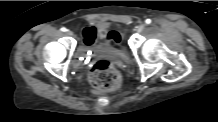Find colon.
<instances>
[{
	"mask_svg": "<svg viewBox=\"0 0 218 122\" xmlns=\"http://www.w3.org/2000/svg\"><path fill=\"white\" fill-rule=\"evenodd\" d=\"M102 42L105 46L117 49L122 46L124 37L120 29L109 28L102 33ZM91 85L100 91L117 90L121 86V76L115 63L107 58L95 60L88 73Z\"/></svg>",
	"mask_w": 218,
	"mask_h": 122,
	"instance_id": "5ec220e1",
	"label": "colon"
}]
</instances>
